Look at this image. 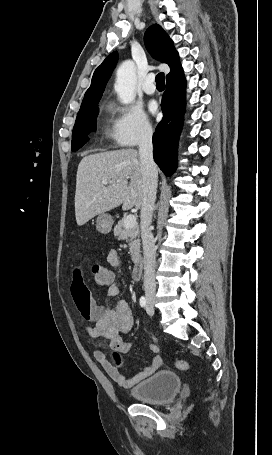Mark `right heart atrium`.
Masks as SVG:
<instances>
[{
	"instance_id": "right-heart-atrium-1",
	"label": "right heart atrium",
	"mask_w": 272,
	"mask_h": 455,
	"mask_svg": "<svg viewBox=\"0 0 272 455\" xmlns=\"http://www.w3.org/2000/svg\"><path fill=\"white\" fill-rule=\"evenodd\" d=\"M110 109L114 114L112 136L118 146L134 147L151 138L152 125L141 109L117 104H111Z\"/></svg>"
}]
</instances>
